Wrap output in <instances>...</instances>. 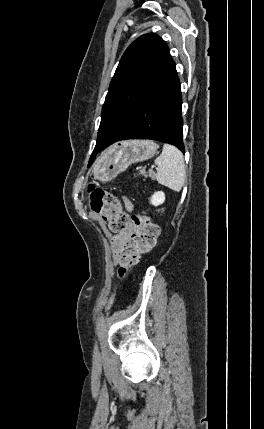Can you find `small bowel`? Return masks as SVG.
<instances>
[{"label": "small bowel", "mask_w": 264, "mask_h": 429, "mask_svg": "<svg viewBox=\"0 0 264 429\" xmlns=\"http://www.w3.org/2000/svg\"><path fill=\"white\" fill-rule=\"evenodd\" d=\"M124 204L127 210H133V205L127 198H124ZM133 234L132 229H127L113 235L111 238V244L114 252H118L121 247L128 244L132 240Z\"/></svg>", "instance_id": "obj_1"}]
</instances>
